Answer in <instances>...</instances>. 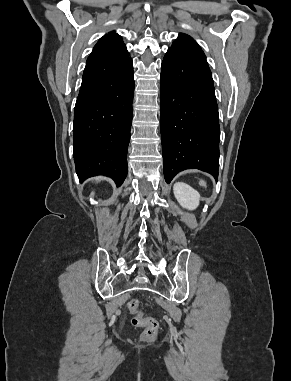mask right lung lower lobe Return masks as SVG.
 I'll return each mask as SVG.
<instances>
[{
	"instance_id": "obj_1",
	"label": "right lung lower lobe",
	"mask_w": 291,
	"mask_h": 381,
	"mask_svg": "<svg viewBox=\"0 0 291 381\" xmlns=\"http://www.w3.org/2000/svg\"><path fill=\"white\" fill-rule=\"evenodd\" d=\"M133 94V64L127 50L88 57L73 123L80 182L96 175L111 177L117 186L124 182Z\"/></svg>"
}]
</instances>
